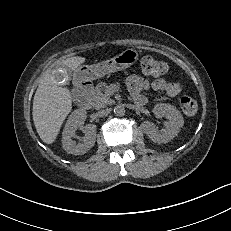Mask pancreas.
<instances>
[{"label": "pancreas", "mask_w": 231, "mask_h": 231, "mask_svg": "<svg viewBox=\"0 0 231 231\" xmlns=\"http://www.w3.org/2000/svg\"><path fill=\"white\" fill-rule=\"evenodd\" d=\"M106 87L107 84L104 82L98 83L91 95V105L96 108H104L107 105L113 104V100L110 98V96L106 93Z\"/></svg>", "instance_id": "pancreas-1"}]
</instances>
